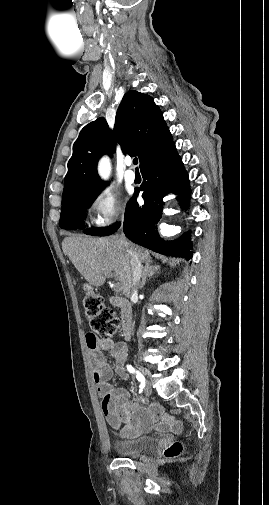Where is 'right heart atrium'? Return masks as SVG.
Segmentation results:
<instances>
[{
  "label": "right heart atrium",
  "mask_w": 269,
  "mask_h": 505,
  "mask_svg": "<svg viewBox=\"0 0 269 505\" xmlns=\"http://www.w3.org/2000/svg\"><path fill=\"white\" fill-rule=\"evenodd\" d=\"M90 223L99 229L112 226L124 218L126 209L120 194L112 187L99 189L89 204Z\"/></svg>",
  "instance_id": "right-heart-atrium-1"
}]
</instances>
